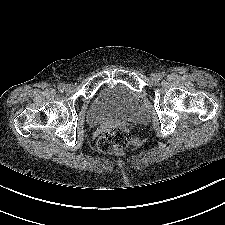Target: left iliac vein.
Returning <instances> with one entry per match:
<instances>
[{"mask_svg": "<svg viewBox=\"0 0 225 225\" xmlns=\"http://www.w3.org/2000/svg\"><path fill=\"white\" fill-rule=\"evenodd\" d=\"M159 78H160V74H158V73H152L151 74V79L158 80Z\"/></svg>", "mask_w": 225, "mask_h": 225, "instance_id": "4c4485c4", "label": "left iliac vein"}]
</instances>
